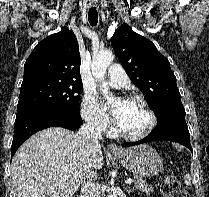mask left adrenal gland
Wrapping results in <instances>:
<instances>
[{
  "mask_svg": "<svg viewBox=\"0 0 209 197\" xmlns=\"http://www.w3.org/2000/svg\"><path fill=\"white\" fill-rule=\"evenodd\" d=\"M127 191H128V192H131L132 190H131V188H130V187H128V188H127Z\"/></svg>",
  "mask_w": 209,
  "mask_h": 197,
  "instance_id": "a2214340",
  "label": "left adrenal gland"
}]
</instances>
